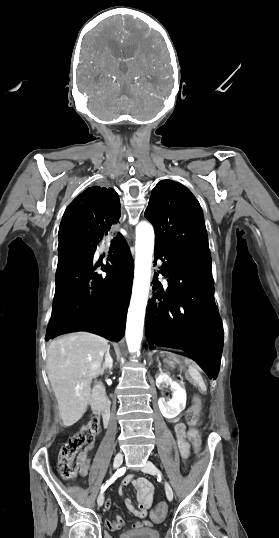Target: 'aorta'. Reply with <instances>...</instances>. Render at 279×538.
Masks as SVG:
<instances>
[{"mask_svg": "<svg viewBox=\"0 0 279 538\" xmlns=\"http://www.w3.org/2000/svg\"><path fill=\"white\" fill-rule=\"evenodd\" d=\"M154 238L152 225L147 222H140L136 226L134 281L126 322V341L131 353L137 352L139 354L143 337L144 318L150 288Z\"/></svg>", "mask_w": 279, "mask_h": 538, "instance_id": "1", "label": "aorta"}]
</instances>
